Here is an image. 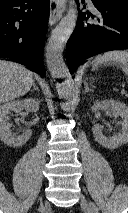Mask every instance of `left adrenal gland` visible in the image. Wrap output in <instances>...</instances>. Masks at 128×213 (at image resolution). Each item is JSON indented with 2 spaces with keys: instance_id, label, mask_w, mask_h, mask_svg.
I'll list each match as a JSON object with an SVG mask.
<instances>
[{
  "instance_id": "1",
  "label": "left adrenal gland",
  "mask_w": 128,
  "mask_h": 213,
  "mask_svg": "<svg viewBox=\"0 0 128 213\" xmlns=\"http://www.w3.org/2000/svg\"><path fill=\"white\" fill-rule=\"evenodd\" d=\"M84 86H85L84 93L93 91L92 89L89 88L87 82H84Z\"/></svg>"
}]
</instances>
